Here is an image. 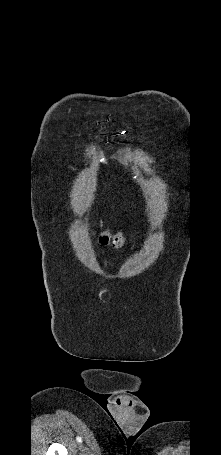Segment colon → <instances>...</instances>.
<instances>
[{
	"label": "colon",
	"instance_id": "obj_1",
	"mask_svg": "<svg viewBox=\"0 0 221 455\" xmlns=\"http://www.w3.org/2000/svg\"><path fill=\"white\" fill-rule=\"evenodd\" d=\"M99 239L103 244H110L113 247H122L124 245V237L121 233H112L108 229H103L99 233Z\"/></svg>",
	"mask_w": 221,
	"mask_h": 455
}]
</instances>
